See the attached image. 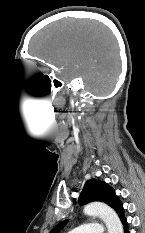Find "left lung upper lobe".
<instances>
[{
    "label": "left lung upper lobe",
    "instance_id": "left-lung-upper-lobe-1",
    "mask_svg": "<svg viewBox=\"0 0 145 233\" xmlns=\"http://www.w3.org/2000/svg\"><path fill=\"white\" fill-rule=\"evenodd\" d=\"M91 201H101L113 208L119 215L121 221H125L124 209L121 201L115 194V191L107 183L92 179L85 183L79 196L81 205ZM67 220L60 222L50 233H58L65 225Z\"/></svg>",
    "mask_w": 145,
    "mask_h": 233
}]
</instances>
